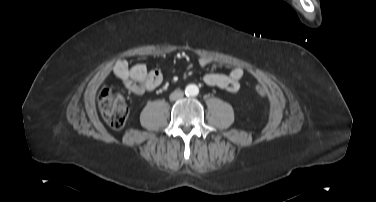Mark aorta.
I'll use <instances>...</instances> for the list:
<instances>
[{
	"mask_svg": "<svg viewBox=\"0 0 376 202\" xmlns=\"http://www.w3.org/2000/svg\"><path fill=\"white\" fill-rule=\"evenodd\" d=\"M186 94L189 96H196L199 93V88L195 84H190L186 87Z\"/></svg>",
	"mask_w": 376,
	"mask_h": 202,
	"instance_id": "1",
	"label": "aorta"
}]
</instances>
